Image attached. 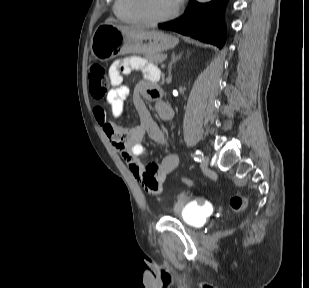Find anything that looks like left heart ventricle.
I'll return each mask as SVG.
<instances>
[{"label": "left heart ventricle", "mask_w": 309, "mask_h": 288, "mask_svg": "<svg viewBox=\"0 0 309 288\" xmlns=\"http://www.w3.org/2000/svg\"><path fill=\"white\" fill-rule=\"evenodd\" d=\"M178 3V0H147V10L150 15L159 17L173 11Z\"/></svg>", "instance_id": "left-heart-ventricle-1"}]
</instances>
